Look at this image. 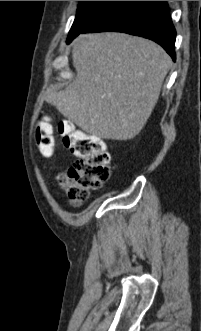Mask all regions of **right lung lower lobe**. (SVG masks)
I'll return each instance as SVG.
<instances>
[{
  "instance_id": "1",
  "label": "right lung lower lobe",
  "mask_w": 201,
  "mask_h": 331,
  "mask_svg": "<svg viewBox=\"0 0 201 331\" xmlns=\"http://www.w3.org/2000/svg\"><path fill=\"white\" fill-rule=\"evenodd\" d=\"M104 31L151 39L160 44L174 61L176 59V31L166 1H115L80 33Z\"/></svg>"
}]
</instances>
